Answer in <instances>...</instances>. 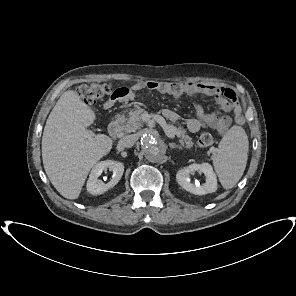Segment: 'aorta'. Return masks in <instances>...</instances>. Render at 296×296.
<instances>
[{
  "label": "aorta",
  "instance_id": "1",
  "mask_svg": "<svg viewBox=\"0 0 296 296\" xmlns=\"http://www.w3.org/2000/svg\"><path fill=\"white\" fill-rule=\"evenodd\" d=\"M140 144L148 161L159 162L163 160L165 156V148L154 137L144 134L140 138Z\"/></svg>",
  "mask_w": 296,
  "mask_h": 296
}]
</instances>
